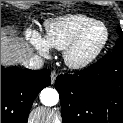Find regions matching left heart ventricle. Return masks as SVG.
<instances>
[{
	"instance_id": "left-heart-ventricle-1",
	"label": "left heart ventricle",
	"mask_w": 123,
	"mask_h": 123,
	"mask_svg": "<svg viewBox=\"0 0 123 123\" xmlns=\"http://www.w3.org/2000/svg\"><path fill=\"white\" fill-rule=\"evenodd\" d=\"M105 36V31L101 26L92 28L80 41L76 47L73 57L82 60L91 55L101 44Z\"/></svg>"
}]
</instances>
